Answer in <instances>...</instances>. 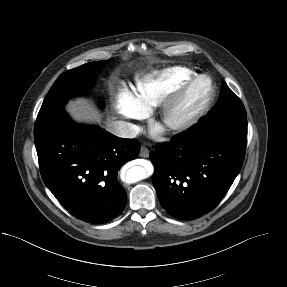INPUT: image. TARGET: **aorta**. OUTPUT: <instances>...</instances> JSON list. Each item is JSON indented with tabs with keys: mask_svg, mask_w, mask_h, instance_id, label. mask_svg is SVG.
Segmentation results:
<instances>
[{
	"mask_svg": "<svg viewBox=\"0 0 287 287\" xmlns=\"http://www.w3.org/2000/svg\"><path fill=\"white\" fill-rule=\"evenodd\" d=\"M148 177V170L145 167L135 166L126 173V181L134 183Z\"/></svg>",
	"mask_w": 287,
	"mask_h": 287,
	"instance_id": "762f6f07",
	"label": "aorta"
}]
</instances>
